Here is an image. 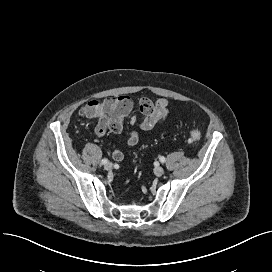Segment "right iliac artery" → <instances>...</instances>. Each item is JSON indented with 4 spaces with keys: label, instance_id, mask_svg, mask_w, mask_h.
<instances>
[{
    "label": "right iliac artery",
    "instance_id": "82829eb1",
    "mask_svg": "<svg viewBox=\"0 0 272 272\" xmlns=\"http://www.w3.org/2000/svg\"><path fill=\"white\" fill-rule=\"evenodd\" d=\"M108 162V159H106V158H104V159H102V161H101V164H106Z\"/></svg>",
    "mask_w": 272,
    "mask_h": 272
}]
</instances>
